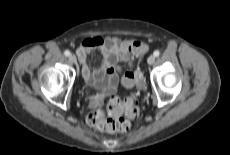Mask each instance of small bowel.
Wrapping results in <instances>:
<instances>
[{"label":"small bowel","mask_w":230,"mask_h":155,"mask_svg":"<svg viewBox=\"0 0 230 155\" xmlns=\"http://www.w3.org/2000/svg\"><path fill=\"white\" fill-rule=\"evenodd\" d=\"M130 44L131 41H121L115 37L96 36L84 40L76 53L82 65V75L86 83L94 88L113 92L121 78L125 87H131L132 82L126 77L127 70L121 65L129 60L126 47ZM95 51L100 53L101 62L97 67H92L90 56ZM98 103L95 99L92 104L98 105ZM110 112L115 114L112 110Z\"/></svg>","instance_id":"obj_1"}]
</instances>
